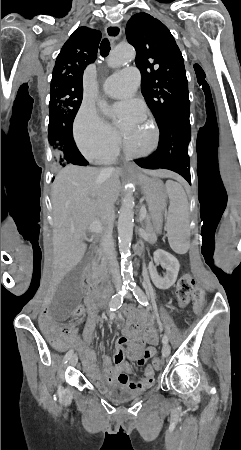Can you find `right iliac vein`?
I'll return each instance as SVG.
<instances>
[{"label": "right iliac vein", "instance_id": "1", "mask_svg": "<svg viewBox=\"0 0 241 450\" xmlns=\"http://www.w3.org/2000/svg\"><path fill=\"white\" fill-rule=\"evenodd\" d=\"M69 360H70V365H76V363L78 361V356L75 354ZM66 394H69L68 391L66 392Z\"/></svg>", "mask_w": 241, "mask_h": 450}]
</instances>
